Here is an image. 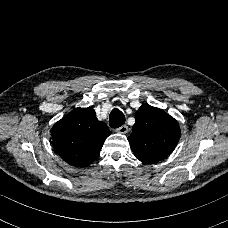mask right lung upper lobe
Segmentation results:
<instances>
[{"label":"right lung upper lobe","instance_id":"right-lung-upper-lobe-1","mask_svg":"<svg viewBox=\"0 0 228 228\" xmlns=\"http://www.w3.org/2000/svg\"><path fill=\"white\" fill-rule=\"evenodd\" d=\"M110 134L107 125L97 120L92 108L74 109L51 129L55 151L75 167H87L95 161Z\"/></svg>","mask_w":228,"mask_h":228}]
</instances>
